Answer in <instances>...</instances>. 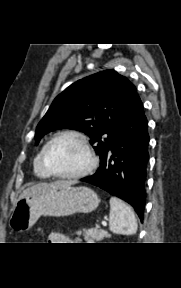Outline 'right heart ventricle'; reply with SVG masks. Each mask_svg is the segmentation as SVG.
I'll use <instances>...</instances> for the list:
<instances>
[{
  "mask_svg": "<svg viewBox=\"0 0 181 288\" xmlns=\"http://www.w3.org/2000/svg\"><path fill=\"white\" fill-rule=\"evenodd\" d=\"M40 153L41 151H39L34 160H33V171L34 174L41 179H49L51 176L47 173V171L43 168L42 164H41V160H40Z\"/></svg>",
  "mask_w": 181,
  "mask_h": 288,
  "instance_id": "1",
  "label": "right heart ventricle"
}]
</instances>
